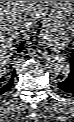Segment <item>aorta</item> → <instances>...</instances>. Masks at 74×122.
Here are the masks:
<instances>
[{
	"instance_id": "obj_1",
	"label": "aorta",
	"mask_w": 74,
	"mask_h": 122,
	"mask_svg": "<svg viewBox=\"0 0 74 122\" xmlns=\"http://www.w3.org/2000/svg\"><path fill=\"white\" fill-rule=\"evenodd\" d=\"M48 70L55 75H67L70 72L68 60L60 54H50L46 58Z\"/></svg>"
}]
</instances>
